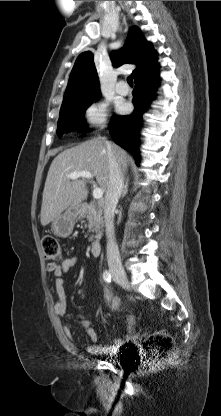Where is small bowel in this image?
Instances as JSON below:
<instances>
[{"label":"small bowel","mask_w":221,"mask_h":416,"mask_svg":"<svg viewBox=\"0 0 221 416\" xmlns=\"http://www.w3.org/2000/svg\"><path fill=\"white\" fill-rule=\"evenodd\" d=\"M77 265L78 258L75 256L66 257L60 264L50 262L46 265V271L56 277L55 289L57 293V301L55 303L54 310L55 313L59 316H68L67 299L62 276L70 270L74 269ZM104 298L106 302L110 304L112 309H116L119 306V299L115 297L111 290L106 286L104 287ZM129 322L130 327L126 334H124L122 337L116 338L112 345L104 346L98 342V333L95 331V329L90 327L89 321L83 320L82 323L86 328L87 335L92 341V343L87 348L88 352L94 355L114 354L123 346L129 344L133 340L131 332L132 320L130 319ZM64 331L68 338H74V332L71 326L67 325Z\"/></svg>","instance_id":"c3829d8e"}]
</instances>
